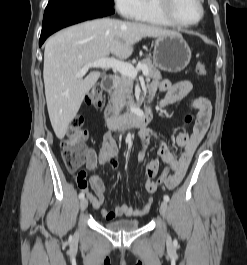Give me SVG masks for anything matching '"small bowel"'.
<instances>
[{
    "mask_svg": "<svg viewBox=\"0 0 247 265\" xmlns=\"http://www.w3.org/2000/svg\"><path fill=\"white\" fill-rule=\"evenodd\" d=\"M193 85L190 81H181L171 83L168 80H157L150 84L149 89L151 92L160 90L165 92L164 98L160 101V107L164 108L169 104L178 102L185 98L191 91ZM188 107L197 110V117L192 132L179 133L176 136V143L182 148V152L178 158L172 154L167 143L161 136L150 128H144L140 131V150L137 154L139 162L146 160V150L151 140L157 142V152L163 162L168 163L172 167V175L164 183L165 189L175 188L184 178L187 168L191 159L196 151L198 145L204 138L212 116V106L210 101L205 97H191L188 100ZM117 156V142L115 137L110 133H106L99 146V152L89 149L86 159V168L89 171H94L99 164H105L112 169H117L118 162ZM159 163L156 159L147 161L145 165V180L144 189L149 194L155 193L159 186L153 180L157 175ZM79 188L86 193L91 201L94 209H101L100 214L106 220H113L118 217H135L146 214L150 210L151 200L144 205L141 209H134L128 205L122 204L115 207L114 210L109 211L101 208L104 202L106 187L102 178L98 175L91 176L86 180L85 175H78L76 177ZM89 188L91 191H89Z\"/></svg>",
    "mask_w": 247,
    "mask_h": 265,
    "instance_id": "small-bowel-1",
    "label": "small bowel"
}]
</instances>
